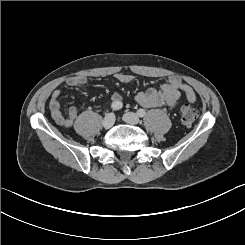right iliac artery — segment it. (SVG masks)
<instances>
[{
    "instance_id": "82829eb1",
    "label": "right iliac artery",
    "mask_w": 245,
    "mask_h": 245,
    "mask_svg": "<svg viewBox=\"0 0 245 245\" xmlns=\"http://www.w3.org/2000/svg\"><path fill=\"white\" fill-rule=\"evenodd\" d=\"M122 106H123V104H122V102H120V101H115V102H113V103L111 104L112 110H119V109L122 108Z\"/></svg>"
}]
</instances>
